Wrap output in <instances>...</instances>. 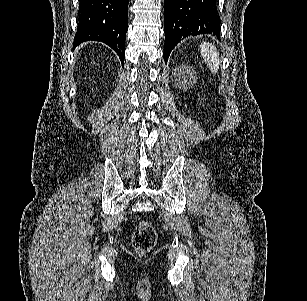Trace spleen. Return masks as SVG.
<instances>
[{
    "label": "spleen",
    "mask_w": 307,
    "mask_h": 301,
    "mask_svg": "<svg viewBox=\"0 0 307 301\" xmlns=\"http://www.w3.org/2000/svg\"><path fill=\"white\" fill-rule=\"evenodd\" d=\"M200 52L208 68H210L211 72H214V74H216V72H218L219 70L220 64L219 52L216 46H214L212 42H201Z\"/></svg>",
    "instance_id": "1"
}]
</instances>
